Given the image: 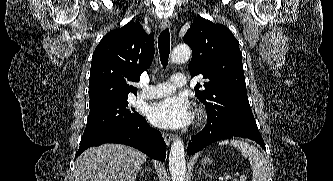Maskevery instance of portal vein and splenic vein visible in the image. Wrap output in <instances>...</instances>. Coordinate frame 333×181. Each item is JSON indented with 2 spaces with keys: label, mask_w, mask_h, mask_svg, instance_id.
Masks as SVG:
<instances>
[{
  "label": "portal vein and splenic vein",
  "mask_w": 333,
  "mask_h": 181,
  "mask_svg": "<svg viewBox=\"0 0 333 181\" xmlns=\"http://www.w3.org/2000/svg\"><path fill=\"white\" fill-rule=\"evenodd\" d=\"M229 179H231V176H230V175H226V176H224V180H229Z\"/></svg>",
  "instance_id": "obj_1"
}]
</instances>
